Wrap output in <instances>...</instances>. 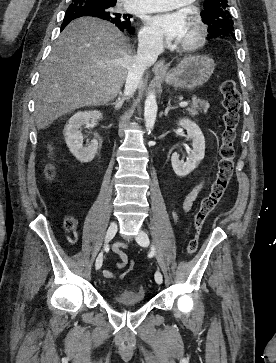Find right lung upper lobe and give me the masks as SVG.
I'll return each mask as SVG.
<instances>
[{
    "mask_svg": "<svg viewBox=\"0 0 276 363\" xmlns=\"http://www.w3.org/2000/svg\"><path fill=\"white\" fill-rule=\"evenodd\" d=\"M99 1H104V2H111V3H116L117 0H99ZM123 17V15H122ZM112 22H117V23H126V22H123V21H115V20H111ZM129 23V22H128Z\"/></svg>",
    "mask_w": 276,
    "mask_h": 363,
    "instance_id": "obj_1",
    "label": "right lung upper lobe"
}]
</instances>
